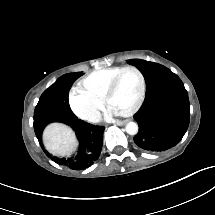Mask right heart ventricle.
<instances>
[{
    "instance_id": "1",
    "label": "right heart ventricle",
    "mask_w": 215,
    "mask_h": 215,
    "mask_svg": "<svg viewBox=\"0 0 215 215\" xmlns=\"http://www.w3.org/2000/svg\"><path fill=\"white\" fill-rule=\"evenodd\" d=\"M119 67H110L106 69L95 70L82 78L80 89L82 93L95 98L107 91L115 78L113 71Z\"/></svg>"
}]
</instances>
